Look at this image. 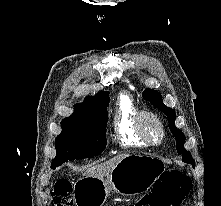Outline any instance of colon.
I'll list each match as a JSON object with an SVG mask.
<instances>
[{
  "instance_id": "colon-1",
  "label": "colon",
  "mask_w": 221,
  "mask_h": 206,
  "mask_svg": "<svg viewBox=\"0 0 221 206\" xmlns=\"http://www.w3.org/2000/svg\"><path fill=\"white\" fill-rule=\"evenodd\" d=\"M191 190V180L177 170L165 172L152 191L139 200L135 206H179ZM52 206H75L70 181L58 180L51 193Z\"/></svg>"
}]
</instances>
